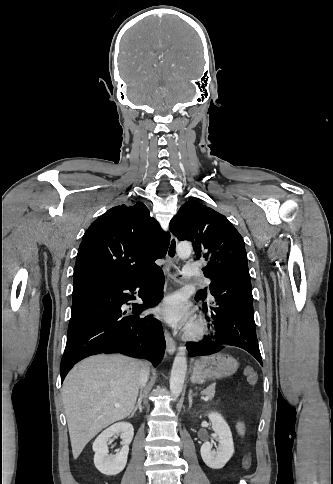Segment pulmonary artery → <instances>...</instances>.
<instances>
[{"instance_id":"pulmonary-artery-1","label":"pulmonary artery","mask_w":333,"mask_h":484,"mask_svg":"<svg viewBox=\"0 0 333 484\" xmlns=\"http://www.w3.org/2000/svg\"><path fill=\"white\" fill-rule=\"evenodd\" d=\"M183 274L186 277H195L200 274L198 266L196 264H186L183 269ZM206 283H209V279H204Z\"/></svg>"}]
</instances>
